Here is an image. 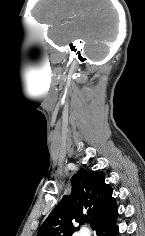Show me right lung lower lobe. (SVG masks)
<instances>
[{
  "label": "right lung lower lobe",
  "instance_id": "right-lung-lower-lobe-1",
  "mask_svg": "<svg viewBox=\"0 0 145 236\" xmlns=\"http://www.w3.org/2000/svg\"><path fill=\"white\" fill-rule=\"evenodd\" d=\"M118 216L117 209L114 210L107 218L102 220L94 228L97 236H117L119 230L116 225V218Z\"/></svg>",
  "mask_w": 145,
  "mask_h": 236
}]
</instances>
